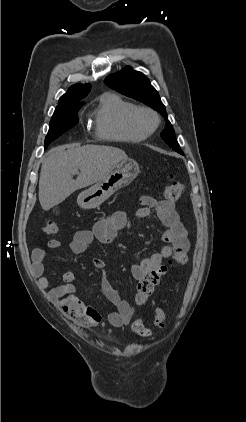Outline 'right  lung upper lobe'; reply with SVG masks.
Here are the masks:
<instances>
[{
	"mask_svg": "<svg viewBox=\"0 0 246 422\" xmlns=\"http://www.w3.org/2000/svg\"><path fill=\"white\" fill-rule=\"evenodd\" d=\"M91 89L90 84H76L71 86L67 93L60 97L58 106H68V105H75V104H85V102L81 101Z\"/></svg>",
	"mask_w": 246,
	"mask_h": 422,
	"instance_id": "cb5924a9",
	"label": "right lung upper lobe"
}]
</instances>
